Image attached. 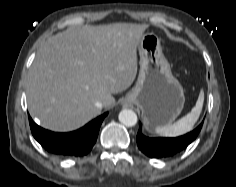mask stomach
<instances>
[{"label": "stomach", "mask_w": 236, "mask_h": 187, "mask_svg": "<svg viewBox=\"0 0 236 187\" xmlns=\"http://www.w3.org/2000/svg\"><path fill=\"white\" fill-rule=\"evenodd\" d=\"M137 48L139 75L122 102L140 108L145 127L151 132L171 124L181 113L185 102L184 90L171 72L157 35L143 34Z\"/></svg>", "instance_id": "0dacf381"}]
</instances>
